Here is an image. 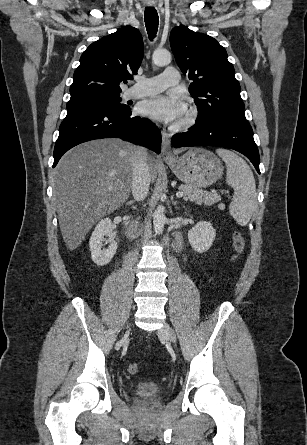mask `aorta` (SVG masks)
Returning a JSON list of instances; mask_svg holds the SVG:
<instances>
[{"label":"aorta","instance_id":"aorta-1","mask_svg":"<svg viewBox=\"0 0 307 445\" xmlns=\"http://www.w3.org/2000/svg\"><path fill=\"white\" fill-rule=\"evenodd\" d=\"M171 52L166 48H157L152 54V60L157 66H165L171 62ZM164 206H157L155 212H153V227L156 235H162L164 231V225L166 223V216L164 212Z\"/></svg>","mask_w":307,"mask_h":445}]
</instances>
